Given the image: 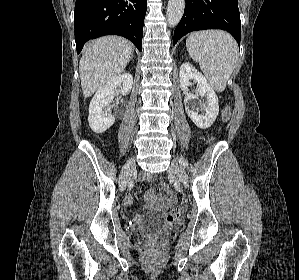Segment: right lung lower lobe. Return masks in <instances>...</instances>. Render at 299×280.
<instances>
[{
  "instance_id": "98d812e1",
  "label": "right lung lower lobe",
  "mask_w": 299,
  "mask_h": 280,
  "mask_svg": "<svg viewBox=\"0 0 299 280\" xmlns=\"http://www.w3.org/2000/svg\"><path fill=\"white\" fill-rule=\"evenodd\" d=\"M147 0H76L75 42L79 54L84 44L104 35H120L142 51Z\"/></svg>"
}]
</instances>
